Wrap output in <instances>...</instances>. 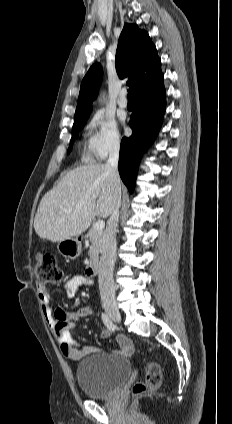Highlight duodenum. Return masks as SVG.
<instances>
[{"label":"duodenum","instance_id":"410a0bca","mask_svg":"<svg viewBox=\"0 0 232 424\" xmlns=\"http://www.w3.org/2000/svg\"><path fill=\"white\" fill-rule=\"evenodd\" d=\"M98 271H99V261L97 258H93L87 266L86 273L89 276H95L97 275Z\"/></svg>","mask_w":232,"mask_h":424}]
</instances>
